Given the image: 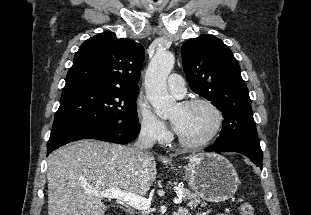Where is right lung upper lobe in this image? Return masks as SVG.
<instances>
[{"mask_svg":"<svg viewBox=\"0 0 311 215\" xmlns=\"http://www.w3.org/2000/svg\"><path fill=\"white\" fill-rule=\"evenodd\" d=\"M144 47L104 32L82 43L66 76L65 86L92 84L137 91Z\"/></svg>","mask_w":311,"mask_h":215,"instance_id":"right-lung-upper-lobe-1","label":"right lung upper lobe"}]
</instances>
